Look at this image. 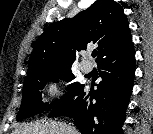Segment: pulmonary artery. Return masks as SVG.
Returning <instances> with one entry per match:
<instances>
[{"mask_svg":"<svg viewBox=\"0 0 153 134\" xmlns=\"http://www.w3.org/2000/svg\"><path fill=\"white\" fill-rule=\"evenodd\" d=\"M81 69L84 71V72H91L92 69H93V63L87 59L83 60L81 62Z\"/></svg>","mask_w":153,"mask_h":134,"instance_id":"e3ab8cb5","label":"pulmonary artery"}]
</instances>
